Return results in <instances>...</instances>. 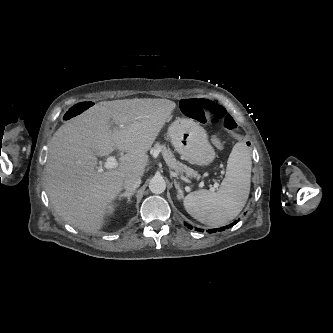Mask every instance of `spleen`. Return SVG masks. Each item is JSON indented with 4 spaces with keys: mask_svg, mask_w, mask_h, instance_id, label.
Listing matches in <instances>:
<instances>
[{
    "mask_svg": "<svg viewBox=\"0 0 333 333\" xmlns=\"http://www.w3.org/2000/svg\"><path fill=\"white\" fill-rule=\"evenodd\" d=\"M251 152L244 142L234 145L226 175L216 192L198 190L183 200L188 214L209 226H222L234 219L245 206L251 183Z\"/></svg>",
    "mask_w": 333,
    "mask_h": 333,
    "instance_id": "obj_1",
    "label": "spleen"
}]
</instances>
